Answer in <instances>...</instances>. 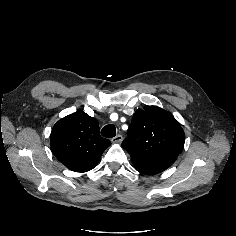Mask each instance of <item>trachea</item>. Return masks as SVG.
Segmentation results:
<instances>
[{"label": "trachea", "instance_id": "obj_1", "mask_svg": "<svg viewBox=\"0 0 236 236\" xmlns=\"http://www.w3.org/2000/svg\"><path fill=\"white\" fill-rule=\"evenodd\" d=\"M101 135L106 138H112L116 136V127L113 124H109L103 127Z\"/></svg>", "mask_w": 236, "mask_h": 236}]
</instances>
